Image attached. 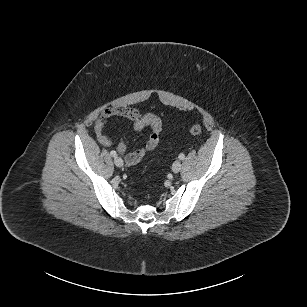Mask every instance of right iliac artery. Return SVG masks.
I'll return each mask as SVG.
<instances>
[{"mask_svg":"<svg viewBox=\"0 0 307 307\" xmlns=\"http://www.w3.org/2000/svg\"><path fill=\"white\" fill-rule=\"evenodd\" d=\"M110 155H111L112 157H116V156H117V153H116V151L112 150V151L110 152Z\"/></svg>","mask_w":307,"mask_h":307,"instance_id":"82829eb1","label":"right iliac artery"}]
</instances>
